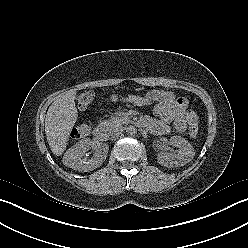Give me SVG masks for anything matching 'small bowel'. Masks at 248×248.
Returning <instances> with one entry per match:
<instances>
[{
	"instance_id": "obj_1",
	"label": "small bowel",
	"mask_w": 248,
	"mask_h": 248,
	"mask_svg": "<svg viewBox=\"0 0 248 248\" xmlns=\"http://www.w3.org/2000/svg\"><path fill=\"white\" fill-rule=\"evenodd\" d=\"M128 100L138 106L156 103L153 114L159 120L144 117L141 122L148 126L156 134H167L170 131V123L176 131H186L191 121L197 122V116L189 108V102L185 98L176 97L168 90H151L141 97H129Z\"/></svg>"
}]
</instances>
